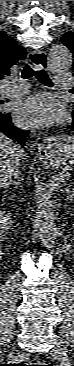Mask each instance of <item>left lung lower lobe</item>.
I'll use <instances>...</instances> for the list:
<instances>
[{"instance_id": "1", "label": "left lung lower lobe", "mask_w": 74, "mask_h": 366, "mask_svg": "<svg viewBox=\"0 0 74 366\" xmlns=\"http://www.w3.org/2000/svg\"><path fill=\"white\" fill-rule=\"evenodd\" d=\"M72 117H73V124H72V127L74 128V111H73V115H72Z\"/></svg>"}]
</instances>
